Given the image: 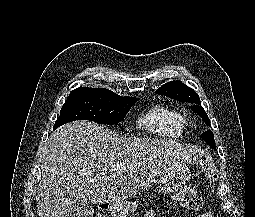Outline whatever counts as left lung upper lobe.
I'll return each instance as SVG.
<instances>
[{
  "mask_svg": "<svg viewBox=\"0 0 255 217\" xmlns=\"http://www.w3.org/2000/svg\"><path fill=\"white\" fill-rule=\"evenodd\" d=\"M157 94L168 96L169 98L187 102L191 104V108L205 121L208 126L210 125V120L204 111V109L200 106V98L198 94L191 89L190 87L184 85L181 81H171L164 85H162L157 91ZM201 138L210 145L213 149L216 150L214 136L211 130H207L206 132L201 134Z\"/></svg>",
  "mask_w": 255,
  "mask_h": 217,
  "instance_id": "5c2ea615",
  "label": "left lung upper lobe"
}]
</instances>
